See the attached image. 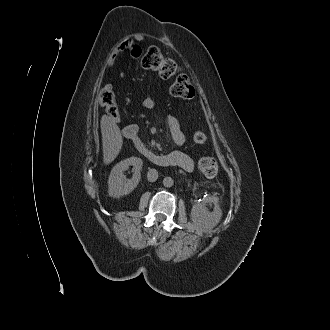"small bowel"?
Returning a JSON list of instances; mask_svg holds the SVG:
<instances>
[{"label": "small bowel", "mask_w": 330, "mask_h": 330, "mask_svg": "<svg viewBox=\"0 0 330 330\" xmlns=\"http://www.w3.org/2000/svg\"><path fill=\"white\" fill-rule=\"evenodd\" d=\"M124 51H129L132 58L136 59L142 54V48L135 40H125L119 43L109 54L107 63L109 66H113L117 57ZM143 106L147 109H151L155 105V101L151 97H146L142 102ZM167 124L174 143L178 146H182L185 143V135L181 128V125L177 118L169 116L167 118ZM168 159L170 166H177L185 171H191L194 168V161L192 157L182 151H172L165 155Z\"/></svg>", "instance_id": "c3829d8e"}]
</instances>
